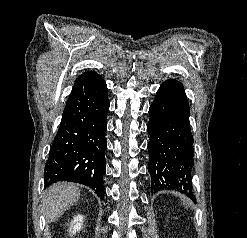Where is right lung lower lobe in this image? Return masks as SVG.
Listing matches in <instances>:
<instances>
[{"label":"right lung lower lobe","mask_w":247,"mask_h":238,"mask_svg":"<svg viewBox=\"0 0 247 238\" xmlns=\"http://www.w3.org/2000/svg\"><path fill=\"white\" fill-rule=\"evenodd\" d=\"M107 86L95 72L80 75L66 103L45 168V185L58 181L84 184L103 200Z\"/></svg>","instance_id":"obj_1"}]
</instances>
